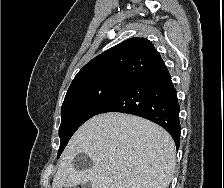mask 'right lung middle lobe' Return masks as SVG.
I'll list each match as a JSON object with an SVG mask.
<instances>
[{
  "label": "right lung middle lobe",
  "mask_w": 224,
  "mask_h": 188,
  "mask_svg": "<svg viewBox=\"0 0 224 188\" xmlns=\"http://www.w3.org/2000/svg\"><path fill=\"white\" fill-rule=\"evenodd\" d=\"M133 79L110 77L70 86L61 107L60 156L74 132L124 90Z\"/></svg>",
  "instance_id": "1"
}]
</instances>
